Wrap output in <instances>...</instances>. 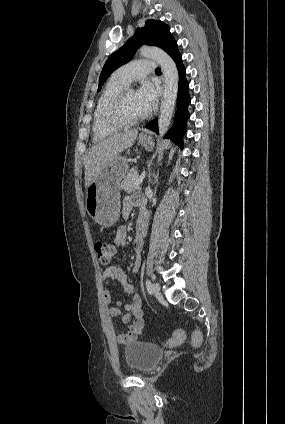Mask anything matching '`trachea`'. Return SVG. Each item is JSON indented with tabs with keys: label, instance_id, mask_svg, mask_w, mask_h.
<instances>
[{
	"label": "trachea",
	"instance_id": "trachea-1",
	"mask_svg": "<svg viewBox=\"0 0 285 424\" xmlns=\"http://www.w3.org/2000/svg\"><path fill=\"white\" fill-rule=\"evenodd\" d=\"M155 72L156 73H161V69L160 68H156Z\"/></svg>",
	"mask_w": 285,
	"mask_h": 424
}]
</instances>
